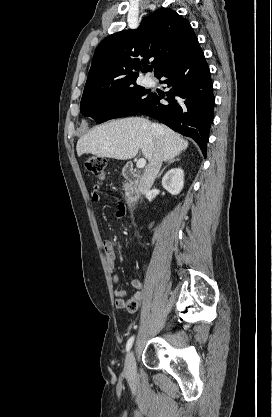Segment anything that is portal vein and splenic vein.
I'll return each mask as SVG.
<instances>
[{
    "label": "portal vein and splenic vein",
    "instance_id": "portal-vein-and-splenic-vein-1",
    "mask_svg": "<svg viewBox=\"0 0 272 417\" xmlns=\"http://www.w3.org/2000/svg\"><path fill=\"white\" fill-rule=\"evenodd\" d=\"M145 165H146V159H144V158L139 159V160L137 161V163H136V167H137L138 169H142V168H144V167H145Z\"/></svg>",
    "mask_w": 272,
    "mask_h": 417
}]
</instances>
